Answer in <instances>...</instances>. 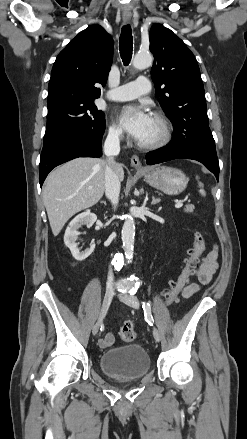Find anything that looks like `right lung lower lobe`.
<instances>
[{
    "label": "right lung lower lobe",
    "mask_w": 247,
    "mask_h": 439,
    "mask_svg": "<svg viewBox=\"0 0 247 439\" xmlns=\"http://www.w3.org/2000/svg\"><path fill=\"white\" fill-rule=\"evenodd\" d=\"M104 130L92 134L72 135L44 144L39 164L40 186L48 173L64 162L77 157H100Z\"/></svg>",
    "instance_id": "right-lung-lower-lobe-1"
}]
</instances>
